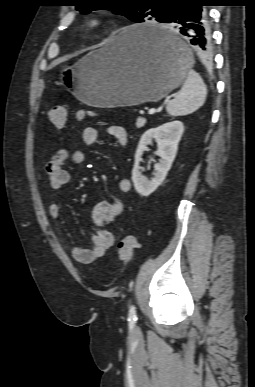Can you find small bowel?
Returning a JSON list of instances; mask_svg holds the SVG:
<instances>
[{"label":"small bowel","mask_w":255,"mask_h":387,"mask_svg":"<svg viewBox=\"0 0 255 387\" xmlns=\"http://www.w3.org/2000/svg\"><path fill=\"white\" fill-rule=\"evenodd\" d=\"M107 132L121 145L125 146L128 141L127 131L120 125H111ZM99 132L95 127L87 126L82 130V140L86 145H94L98 142ZM70 160L77 165L85 164L87 153L84 149L77 148L69 150L66 148L56 151L45 165V172L48 177L49 186L52 190L58 191L69 184L70 173L64 168V164ZM120 193L131 191V181L128 178H121L118 181ZM124 210V203L119 198L109 201L98 202L92 211V221L97 231L91 237L92 245L89 248L73 246L71 254L73 258L84 264L93 263L99 260L106 250L114 244V234L109 230L118 223V217ZM48 213L51 219L57 220L61 215V206L57 202L49 205Z\"/></svg>","instance_id":"small-bowel-1"}]
</instances>
